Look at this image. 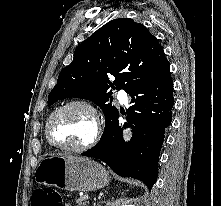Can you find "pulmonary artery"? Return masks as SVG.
Returning <instances> with one entry per match:
<instances>
[{"label":"pulmonary artery","instance_id":"pulmonary-artery-1","mask_svg":"<svg viewBox=\"0 0 221 206\" xmlns=\"http://www.w3.org/2000/svg\"><path fill=\"white\" fill-rule=\"evenodd\" d=\"M118 99L120 100L121 103H126L127 101V94L124 90H120L118 92Z\"/></svg>","mask_w":221,"mask_h":206}]
</instances>
